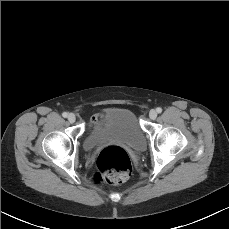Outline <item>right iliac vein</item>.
<instances>
[{"instance_id":"right-iliac-vein-1","label":"right iliac vein","mask_w":229,"mask_h":229,"mask_svg":"<svg viewBox=\"0 0 229 229\" xmlns=\"http://www.w3.org/2000/svg\"><path fill=\"white\" fill-rule=\"evenodd\" d=\"M68 120H69V122L74 123L76 120V116L73 113H70L68 115Z\"/></svg>"}]
</instances>
